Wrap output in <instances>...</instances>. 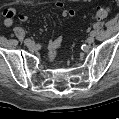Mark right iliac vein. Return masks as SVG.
Wrapping results in <instances>:
<instances>
[{
  "label": "right iliac vein",
  "instance_id": "63e3f726",
  "mask_svg": "<svg viewBox=\"0 0 119 119\" xmlns=\"http://www.w3.org/2000/svg\"><path fill=\"white\" fill-rule=\"evenodd\" d=\"M27 47L32 48L34 47L35 43L34 41L30 40L29 42L25 43Z\"/></svg>",
  "mask_w": 119,
  "mask_h": 119
}]
</instances>
